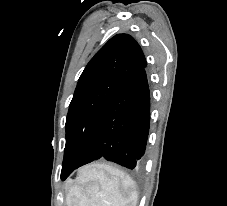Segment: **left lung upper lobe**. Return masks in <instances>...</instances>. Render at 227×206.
I'll list each match as a JSON object with an SVG mask.
<instances>
[{
	"label": "left lung upper lobe",
	"mask_w": 227,
	"mask_h": 206,
	"mask_svg": "<svg viewBox=\"0 0 227 206\" xmlns=\"http://www.w3.org/2000/svg\"><path fill=\"white\" fill-rule=\"evenodd\" d=\"M146 65L139 44L128 34L112 37L89 61L78 80L67 114L62 171L77 165L111 100Z\"/></svg>",
	"instance_id": "obj_1"
}]
</instances>
